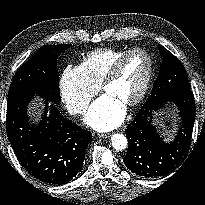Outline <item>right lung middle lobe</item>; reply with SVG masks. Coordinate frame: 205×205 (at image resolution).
Wrapping results in <instances>:
<instances>
[{
	"mask_svg": "<svg viewBox=\"0 0 205 205\" xmlns=\"http://www.w3.org/2000/svg\"><path fill=\"white\" fill-rule=\"evenodd\" d=\"M71 44L44 45L15 73L8 96L16 93L38 95L59 104V74L57 58Z\"/></svg>",
	"mask_w": 205,
	"mask_h": 205,
	"instance_id": "right-lung-middle-lobe-1",
	"label": "right lung middle lobe"
}]
</instances>
